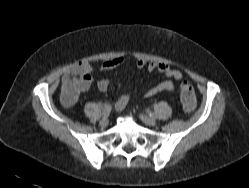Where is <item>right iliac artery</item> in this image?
<instances>
[{
    "mask_svg": "<svg viewBox=\"0 0 249 188\" xmlns=\"http://www.w3.org/2000/svg\"><path fill=\"white\" fill-rule=\"evenodd\" d=\"M111 110H112L111 105H105V107L103 109V113H102L103 117L104 118L108 117L109 114H110V112H111Z\"/></svg>",
    "mask_w": 249,
    "mask_h": 188,
    "instance_id": "1",
    "label": "right iliac artery"
}]
</instances>
